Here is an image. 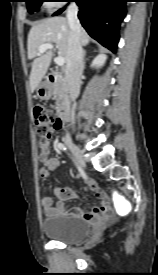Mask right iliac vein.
Segmentation results:
<instances>
[{"label":"right iliac vein","instance_id":"1","mask_svg":"<svg viewBox=\"0 0 158 275\" xmlns=\"http://www.w3.org/2000/svg\"><path fill=\"white\" fill-rule=\"evenodd\" d=\"M66 144L72 151L75 158L79 161V163L85 166V159H84L82 150L76 144H74L71 140H67Z\"/></svg>","mask_w":158,"mask_h":275}]
</instances>
